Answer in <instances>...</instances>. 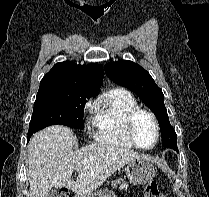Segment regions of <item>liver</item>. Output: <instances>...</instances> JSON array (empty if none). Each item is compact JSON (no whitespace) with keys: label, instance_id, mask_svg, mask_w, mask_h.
<instances>
[{"label":"liver","instance_id":"1","mask_svg":"<svg viewBox=\"0 0 209 197\" xmlns=\"http://www.w3.org/2000/svg\"><path fill=\"white\" fill-rule=\"evenodd\" d=\"M76 142L72 130L62 125L49 126L32 136L27 148L31 197H46L52 187L87 195L140 157L132 150L102 143L72 152ZM74 170L78 172L75 181L71 179Z\"/></svg>","mask_w":209,"mask_h":197}]
</instances>
